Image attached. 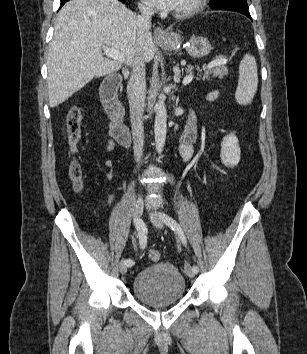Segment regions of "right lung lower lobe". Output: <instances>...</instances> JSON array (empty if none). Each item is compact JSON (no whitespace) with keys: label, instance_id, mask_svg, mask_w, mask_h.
<instances>
[{"label":"right lung lower lobe","instance_id":"obj_1","mask_svg":"<svg viewBox=\"0 0 307 354\" xmlns=\"http://www.w3.org/2000/svg\"><path fill=\"white\" fill-rule=\"evenodd\" d=\"M68 0H61V4H60V7H62ZM119 1H125V0H119Z\"/></svg>","mask_w":307,"mask_h":354}]
</instances>
